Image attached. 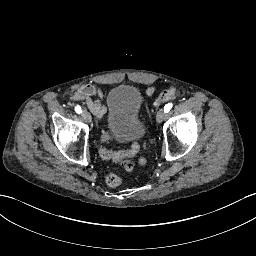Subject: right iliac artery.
<instances>
[{
  "instance_id": "1",
  "label": "right iliac artery",
  "mask_w": 256,
  "mask_h": 256,
  "mask_svg": "<svg viewBox=\"0 0 256 256\" xmlns=\"http://www.w3.org/2000/svg\"><path fill=\"white\" fill-rule=\"evenodd\" d=\"M75 111H76L78 114H81V113H82V109H81V107H80L79 105H77V106L75 107Z\"/></svg>"
}]
</instances>
